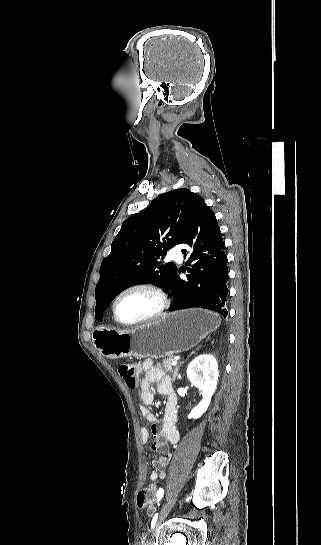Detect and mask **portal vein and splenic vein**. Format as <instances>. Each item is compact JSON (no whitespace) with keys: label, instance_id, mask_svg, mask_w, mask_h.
I'll return each mask as SVG.
<instances>
[{"label":"portal vein and splenic vein","instance_id":"1","mask_svg":"<svg viewBox=\"0 0 321 545\" xmlns=\"http://www.w3.org/2000/svg\"><path fill=\"white\" fill-rule=\"evenodd\" d=\"M173 356H175V359H180L179 355H173Z\"/></svg>","mask_w":321,"mask_h":545}]
</instances>
